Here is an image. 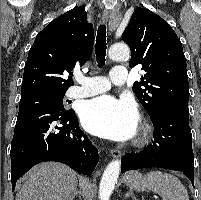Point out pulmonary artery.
I'll list each match as a JSON object with an SVG mask.
<instances>
[{
    "label": "pulmonary artery",
    "instance_id": "obj_1",
    "mask_svg": "<svg viewBox=\"0 0 201 200\" xmlns=\"http://www.w3.org/2000/svg\"><path fill=\"white\" fill-rule=\"evenodd\" d=\"M127 78V70L123 66H115L109 78L102 76H83L78 75L79 85L68 89L66 95L68 98L78 99L86 98L107 91L111 84L121 85Z\"/></svg>",
    "mask_w": 201,
    "mask_h": 200
}]
</instances>
